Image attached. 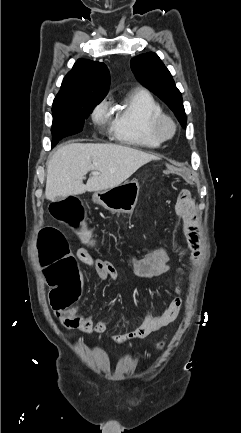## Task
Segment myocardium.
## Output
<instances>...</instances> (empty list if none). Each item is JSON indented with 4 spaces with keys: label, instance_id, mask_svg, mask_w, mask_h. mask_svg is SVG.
<instances>
[{
    "label": "myocardium",
    "instance_id": "myocardium-1",
    "mask_svg": "<svg viewBox=\"0 0 241 433\" xmlns=\"http://www.w3.org/2000/svg\"><path fill=\"white\" fill-rule=\"evenodd\" d=\"M151 130L160 140L166 141L175 136L177 125L170 116L161 114L152 121Z\"/></svg>",
    "mask_w": 241,
    "mask_h": 433
}]
</instances>
